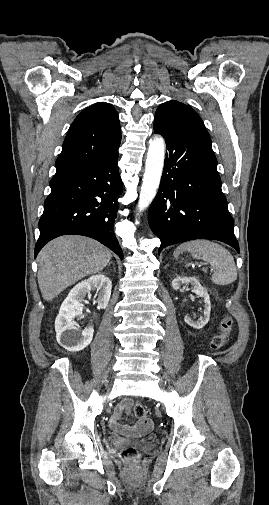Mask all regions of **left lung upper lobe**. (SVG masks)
<instances>
[{"label":"left lung upper lobe","instance_id":"5c2ea615","mask_svg":"<svg viewBox=\"0 0 269 505\" xmlns=\"http://www.w3.org/2000/svg\"><path fill=\"white\" fill-rule=\"evenodd\" d=\"M155 118L170 122H190L205 128L202 119L191 107L175 100L161 104Z\"/></svg>","mask_w":269,"mask_h":505}]
</instances>
